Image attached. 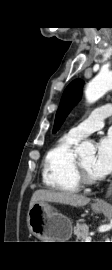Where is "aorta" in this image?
<instances>
[{
  "label": "aorta",
  "instance_id": "762f6f07",
  "mask_svg": "<svg viewBox=\"0 0 112 270\" xmlns=\"http://www.w3.org/2000/svg\"><path fill=\"white\" fill-rule=\"evenodd\" d=\"M112 89V72L99 73L92 79L85 90V97L88 103H93L100 99L108 90ZM96 149L89 141H83L77 148L76 153L80 157L94 155Z\"/></svg>",
  "mask_w": 112,
  "mask_h": 270
}]
</instances>
